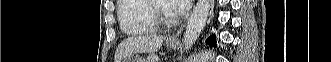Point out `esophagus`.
Returning a JSON list of instances; mask_svg holds the SVG:
<instances>
[{
  "mask_svg": "<svg viewBox=\"0 0 331 62\" xmlns=\"http://www.w3.org/2000/svg\"><path fill=\"white\" fill-rule=\"evenodd\" d=\"M182 30H183V28H181L176 34L169 36V37H168V40H169V41H172V42L177 41L179 35H180L181 32H182Z\"/></svg>",
  "mask_w": 331,
  "mask_h": 62,
  "instance_id": "esophagus-1",
  "label": "esophagus"
}]
</instances>
